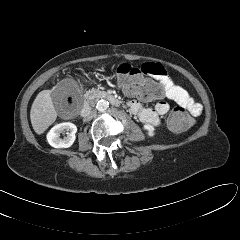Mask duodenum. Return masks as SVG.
<instances>
[{
    "label": "duodenum",
    "instance_id": "obj_1",
    "mask_svg": "<svg viewBox=\"0 0 240 240\" xmlns=\"http://www.w3.org/2000/svg\"><path fill=\"white\" fill-rule=\"evenodd\" d=\"M96 98L106 99V100L110 101L113 105H116V106L120 104L119 99L112 93H108V92H100L97 94L88 93L85 97L84 104H83V107L81 110L82 116H86L89 113L91 104L93 103L94 99H96Z\"/></svg>",
    "mask_w": 240,
    "mask_h": 240
}]
</instances>
